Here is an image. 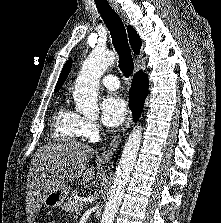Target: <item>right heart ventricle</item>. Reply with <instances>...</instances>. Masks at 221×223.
<instances>
[{
    "label": "right heart ventricle",
    "mask_w": 221,
    "mask_h": 223,
    "mask_svg": "<svg viewBox=\"0 0 221 223\" xmlns=\"http://www.w3.org/2000/svg\"><path fill=\"white\" fill-rule=\"evenodd\" d=\"M79 123V115L65 106L58 107L52 117L53 138L56 140L77 141L81 138Z\"/></svg>",
    "instance_id": "right-heart-ventricle-1"
}]
</instances>
